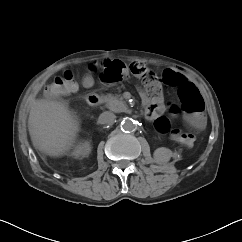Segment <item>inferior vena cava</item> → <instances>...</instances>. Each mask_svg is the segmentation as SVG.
<instances>
[{"label": "inferior vena cava", "mask_w": 242, "mask_h": 242, "mask_svg": "<svg viewBox=\"0 0 242 242\" xmlns=\"http://www.w3.org/2000/svg\"><path fill=\"white\" fill-rule=\"evenodd\" d=\"M116 118L115 114L110 111H105L100 114L99 116V122L101 124H110L114 121Z\"/></svg>", "instance_id": "inferior-vena-cava-1"}]
</instances>
